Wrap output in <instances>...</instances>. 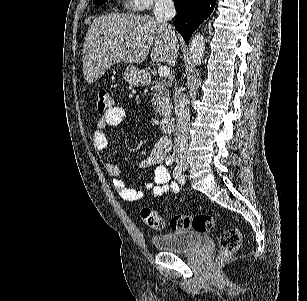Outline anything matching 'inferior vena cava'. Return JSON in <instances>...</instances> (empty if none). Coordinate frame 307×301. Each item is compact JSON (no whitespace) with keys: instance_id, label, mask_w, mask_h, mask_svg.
Segmentation results:
<instances>
[{"instance_id":"1","label":"inferior vena cava","mask_w":307,"mask_h":301,"mask_svg":"<svg viewBox=\"0 0 307 301\" xmlns=\"http://www.w3.org/2000/svg\"><path fill=\"white\" fill-rule=\"evenodd\" d=\"M153 12L157 22L165 24L169 28V34L175 36L174 26L168 22L176 14L173 0H155ZM174 88L176 130L174 134L173 155L174 157H179V155H186L187 153L190 112L188 98L183 94L181 88H178L177 82H175Z\"/></svg>"}]
</instances>
